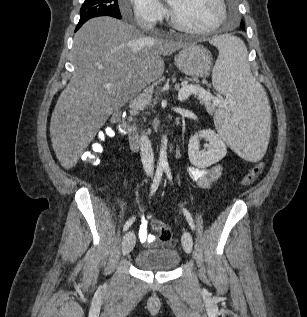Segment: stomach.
I'll list each match as a JSON object with an SVG mask.
<instances>
[{
	"mask_svg": "<svg viewBox=\"0 0 307 317\" xmlns=\"http://www.w3.org/2000/svg\"><path fill=\"white\" fill-rule=\"evenodd\" d=\"M174 60L181 72L193 78L208 76L212 64L210 52L196 43L183 47Z\"/></svg>",
	"mask_w": 307,
	"mask_h": 317,
	"instance_id": "obj_1",
	"label": "stomach"
}]
</instances>
